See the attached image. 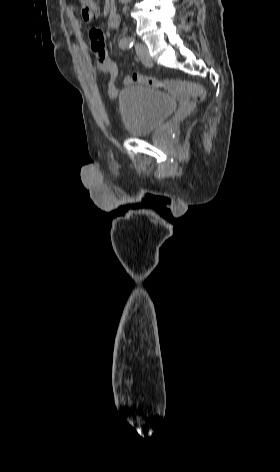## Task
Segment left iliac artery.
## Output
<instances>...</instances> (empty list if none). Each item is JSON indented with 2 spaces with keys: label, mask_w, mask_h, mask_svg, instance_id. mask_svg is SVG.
Returning a JSON list of instances; mask_svg holds the SVG:
<instances>
[{
  "label": "left iliac artery",
  "mask_w": 280,
  "mask_h": 472,
  "mask_svg": "<svg viewBox=\"0 0 280 472\" xmlns=\"http://www.w3.org/2000/svg\"><path fill=\"white\" fill-rule=\"evenodd\" d=\"M134 38L133 37H124L119 42V47L123 50L129 49L133 46Z\"/></svg>",
  "instance_id": "44dca946"
}]
</instances>
